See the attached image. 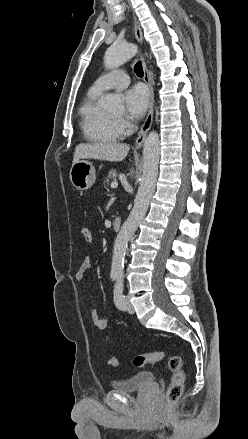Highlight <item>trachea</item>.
Returning a JSON list of instances; mask_svg holds the SVG:
<instances>
[{"label": "trachea", "mask_w": 248, "mask_h": 439, "mask_svg": "<svg viewBox=\"0 0 248 439\" xmlns=\"http://www.w3.org/2000/svg\"><path fill=\"white\" fill-rule=\"evenodd\" d=\"M134 71H135L136 75L139 77H142L144 75L143 67H142V64L140 61L137 62L136 65L134 66Z\"/></svg>", "instance_id": "1"}]
</instances>
